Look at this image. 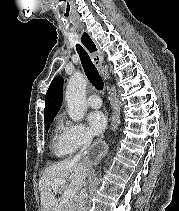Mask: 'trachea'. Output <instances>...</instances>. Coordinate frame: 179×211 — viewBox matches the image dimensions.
Masks as SVG:
<instances>
[{
    "label": "trachea",
    "instance_id": "obj_1",
    "mask_svg": "<svg viewBox=\"0 0 179 211\" xmlns=\"http://www.w3.org/2000/svg\"><path fill=\"white\" fill-rule=\"evenodd\" d=\"M76 50L79 54L82 67L88 79L96 89L102 90L104 88L103 80L99 75L97 68L91 61L90 56L80 45L76 46Z\"/></svg>",
    "mask_w": 179,
    "mask_h": 211
}]
</instances>
